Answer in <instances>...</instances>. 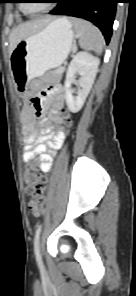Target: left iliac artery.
<instances>
[{
  "label": "left iliac artery",
  "mask_w": 136,
  "mask_h": 296,
  "mask_svg": "<svg viewBox=\"0 0 136 296\" xmlns=\"http://www.w3.org/2000/svg\"><path fill=\"white\" fill-rule=\"evenodd\" d=\"M40 232H41V225L38 226L36 233H35V238H34V253L36 257V261L38 263V266L41 271L44 270L43 262L41 259L40 255V249H39V237H40Z\"/></svg>",
  "instance_id": "1"
}]
</instances>
